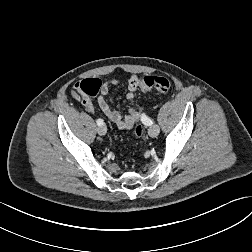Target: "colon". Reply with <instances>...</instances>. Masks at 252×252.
Here are the masks:
<instances>
[{
  "label": "colon",
  "mask_w": 252,
  "mask_h": 252,
  "mask_svg": "<svg viewBox=\"0 0 252 252\" xmlns=\"http://www.w3.org/2000/svg\"><path fill=\"white\" fill-rule=\"evenodd\" d=\"M138 85L142 90L154 88L161 92L168 91L171 86L170 81L163 76L140 77L138 78ZM101 88L102 82L98 78H88L80 82V89L87 96H96ZM142 132V126L138 121L134 124V134L136 137H140Z\"/></svg>",
  "instance_id": "5ec220e1"
}]
</instances>
